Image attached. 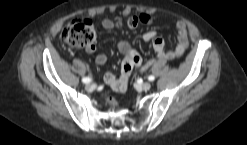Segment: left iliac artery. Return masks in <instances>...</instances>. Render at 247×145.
<instances>
[{"instance_id": "1", "label": "left iliac artery", "mask_w": 247, "mask_h": 145, "mask_svg": "<svg viewBox=\"0 0 247 145\" xmlns=\"http://www.w3.org/2000/svg\"><path fill=\"white\" fill-rule=\"evenodd\" d=\"M154 79H155V77H154L153 75H150V76L148 77V80H149V81H154Z\"/></svg>"}]
</instances>
